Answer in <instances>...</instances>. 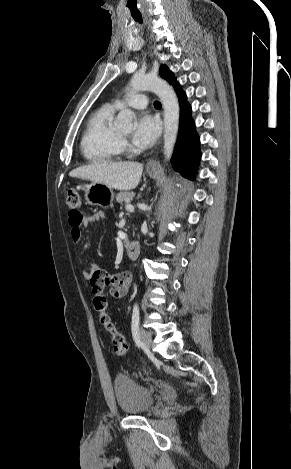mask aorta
Here are the masks:
<instances>
[{
	"mask_svg": "<svg viewBox=\"0 0 291 469\" xmlns=\"http://www.w3.org/2000/svg\"><path fill=\"white\" fill-rule=\"evenodd\" d=\"M131 91L150 90L157 94L164 108V156L170 160L179 127V104L172 87L162 79L151 75L135 74L130 81ZM134 113L124 109L118 114L114 125L129 131L133 125Z\"/></svg>",
	"mask_w": 291,
	"mask_h": 469,
	"instance_id": "762f6f07",
	"label": "aorta"
}]
</instances>
